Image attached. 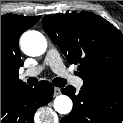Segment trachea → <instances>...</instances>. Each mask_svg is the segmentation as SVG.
<instances>
[{"label":"trachea","mask_w":123,"mask_h":123,"mask_svg":"<svg viewBox=\"0 0 123 123\" xmlns=\"http://www.w3.org/2000/svg\"><path fill=\"white\" fill-rule=\"evenodd\" d=\"M27 82L30 85H36L38 83V80L35 77H31L28 79ZM53 84L57 87H63L66 84V80H64L62 78H55V79H53Z\"/></svg>","instance_id":"1"}]
</instances>
